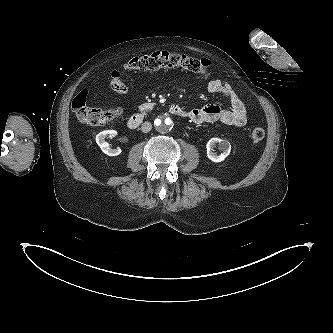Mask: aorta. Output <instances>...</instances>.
I'll return each mask as SVG.
<instances>
[{"label": "aorta", "instance_id": "1", "mask_svg": "<svg viewBox=\"0 0 333 333\" xmlns=\"http://www.w3.org/2000/svg\"><path fill=\"white\" fill-rule=\"evenodd\" d=\"M171 119L168 117H162L160 119H157L155 122L156 130L160 133H167L171 129Z\"/></svg>", "mask_w": 333, "mask_h": 333}]
</instances>
